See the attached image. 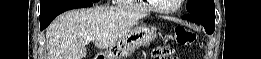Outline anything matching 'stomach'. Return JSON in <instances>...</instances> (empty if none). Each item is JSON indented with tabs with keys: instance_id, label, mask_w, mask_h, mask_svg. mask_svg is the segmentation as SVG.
I'll use <instances>...</instances> for the list:
<instances>
[{
	"instance_id": "0dacf381",
	"label": "stomach",
	"mask_w": 261,
	"mask_h": 59,
	"mask_svg": "<svg viewBox=\"0 0 261 59\" xmlns=\"http://www.w3.org/2000/svg\"><path fill=\"white\" fill-rule=\"evenodd\" d=\"M156 38V31L150 26L132 28L125 36L119 39L109 50L98 57L103 59H124L141 47L150 45Z\"/></svg>"
}]
</instances>
